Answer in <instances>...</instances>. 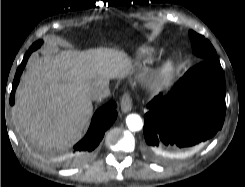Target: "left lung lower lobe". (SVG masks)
I'll return each instance as SVG.
<instances>
[{
  "label": "left lung lower lobe",
  "mask_w": 245,
  "mask_h": 187,
  "mask_svg": "<svg viewBox=\"0 0 245 187\" xmlns=\"http://www.w3.org/2000/svg\"><path fill=\"white\" fill-rule=\"evenodd\" d=\"M226 85L217 57L189 69L167 95L159 94L144 115V136L152 147L190 148L223 126Z\"/></svg>",
  "instance_id": "left-lung-lower-lobe-1"
}]
</instances>
